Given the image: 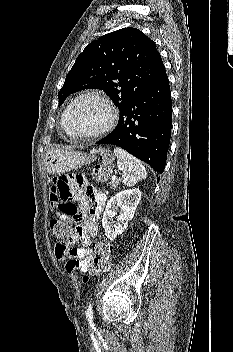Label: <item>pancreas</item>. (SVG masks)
<instances>
[{
  "instance_id": "pancreas-1",
  "label": "pancreas",
  "mask_w": 233,
  "mask_h": 352,
  "mask_svg": "<svg viewBox=\"0 0 233 352\" xmlns=\"http://www.w3.org/2000/svg\"><path fill=\"white\" fill-rule=\"evenodd\" d=\"M120 182H121L120 179H116L114 182H111V183H110V188H111V189H116L117 187L120 186Z\"/></svg>"
}]
</instances>
